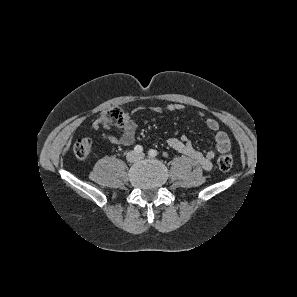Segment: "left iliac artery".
<instances>
[{
	"instance_id": "obj_1",
	"label": "left iliac artery",
	"mask_w": 297,
	"mask_h": 297,
	"mask_svg": "<svg viewBox=\"0 0 297 297\" xmlns=\"http://www.w3.org/2000/svg\"><path fill=\"white\" fill-rule=\"evenodd\" d=\"M148 155L150 157H156L158 155V152H157V150L151 149V150H149Z\"/></svg>"
}]
</instances>
